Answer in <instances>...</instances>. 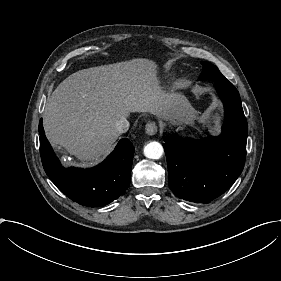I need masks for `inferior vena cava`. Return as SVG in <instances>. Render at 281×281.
I'll use <instances>...</instances> for the list:
<instances>
[{
    "label": "inferior vena cava",
    "instance_id": "1",
    "mask_svg": "<svg viewBox=\"0 0 281 281\" xmlns=\"http://www.w3.org/2000/svg\"><path fill=\"white\" fill-rule=\"evenodd\" d=\"M115 127L120 133H125L129 129V122L127 119L122 118L115 123Z\"/></svg>",
    "mask_w": 281,
    "mask_h": 281
}]
</instances>
